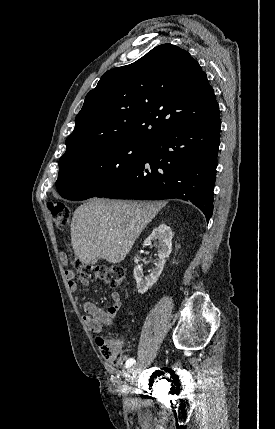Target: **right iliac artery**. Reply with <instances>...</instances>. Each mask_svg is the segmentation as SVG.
<instances>
[{
  "label": "right iliac artery",
  "instance_id": "82829eb1",
  "mask_svg": "<svg viewBox=\"0 0 275 429\" xmlns=\"http://www.w3.org/2000/svg\"><path fill=\"white\" fill-rule=\"evenodd\" d=\"M135 363L133 358H130L126 361V368H130Z\"/></svg>",
  "mask_w": 275,
  "mask_h": 429
}]
</instances>
